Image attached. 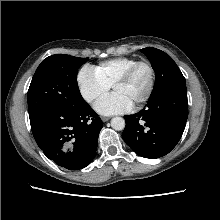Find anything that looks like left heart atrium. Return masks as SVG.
<instances>
[{
    "label": "left heart atrium",
    "mask_w": 220,
    "mask_h": 220,
    "mask_svg": "<svg viewBox=\"0 0 220 220\" xmlns=\"http://www.w3.org/2000/svg\"><path fill=\"white\" fill-rule=\"evenodd\" d=\"M95 110L101 115H115L129 111L132 103L118 93H112L100 99L94 106Z\"/></svg>",
    "instance_id": "left-heart-atrium-1"
}]
</instances>
